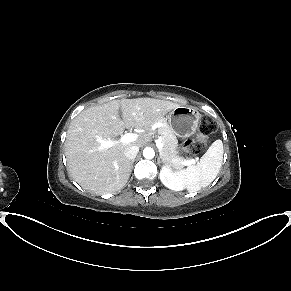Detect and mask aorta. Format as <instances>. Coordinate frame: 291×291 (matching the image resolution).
Returning a JSON list of instances; mask_svg holds the SVG:
<instances>
[{
    "instance_id": "1",
    "label": "aorta",
    "mask_w": 291,
    "mask_h": 291,
    "mask_svg": "<svg viewBox=\"0 0 291 291\" xmlns=\"http://www.w3.org/2000/svg\"><path fill=\"white\" fill-rule=\"evenodd\" d=\"M143 156L145 159H153L154 156H155V151L153 148L151 147H146L144 150H143Z\"/></svg>"
}]
</instances>
